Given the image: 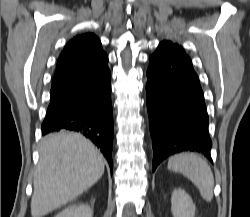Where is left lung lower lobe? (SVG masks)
<instances>
[{"label":"left lung lower lobe","mask_w":250,"mask_h":217,"mask_svg":"<svg viewBox=\"0 0 250 217\" xmlns=\"http://www.w3.org/2000/svg\"><path fill=\"white\" fill-rule=\"evenodd\" d=\"M146 101L153 138V171L167 157L196 151L211 162L203 92L192 62L178 44L163 41L150 56Z\"/></svg>","instance_id":"0a47b994"}]
</instances>
